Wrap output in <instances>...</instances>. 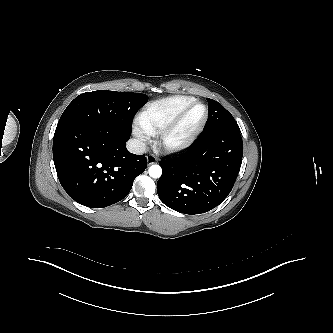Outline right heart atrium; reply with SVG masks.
<instances>
[{
	"label": "right heart atrium",
	"instance_id": "obj_1",
	"mask_svg": "<svg viewBox=\"0 0 333 333\" xmlns=\"http://www.w3.org/2000/svg\"><path fill=\"white\" fill-rule=\"evenodd\" d=\"M133 132L141 142H144L148 138V134L138 124L134 126Z\"/></svg>",
	"mask_w": 333,
	"mask_h": 333
}]
</instances>
